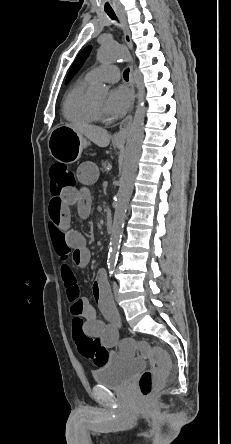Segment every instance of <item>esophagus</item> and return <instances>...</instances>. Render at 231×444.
Wrapping results in <instances>:
<instances>
[{
  "label": "esophagus",
  "instance_id": "obj_1",
  "mask_svg": "<svg viewBox=\"0 0 231 444\" xmlns=\"http://www.w3.org/2000/svg\"><path fill=\"white\" fill-rule=\"evenodd\" d=\"M118 17L121 21L122 24V28H123V32H124V39L126 44L128 45L129 48H131L132 43H131V38H130V31H129V27L126 21V17L124 15L123 12L119 11L118 12ZM129 84H130V88L132 91V95H133V102L135 100V89H134V82H133V69L132 66H130V80H129ZM132 123V114H129L120 124L119 127V131L116 132L113 136V141L117 142V143H124L127 135L129 133L130 130V126Z\"/></svg>",
  "mask_w": 231,
  "mask_h": 444
}]
</instances>
